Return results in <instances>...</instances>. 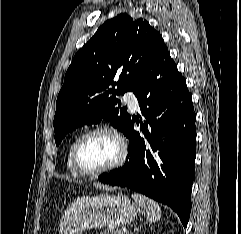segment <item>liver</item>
Returning a JSON list of instances; mask_svg holds the SVG:
<instances>
[{"label": "liver", "mask_w": 241, "mask_h": 234, "mask_svg": "<svg viewBox=\"0 0 241 234\" xmlns=\"http://www.w3.org/2000/svg\"><path fill=\"white\" fill-rule=\"evenodd\" d=\"M95 186H97V187H100V185L99 184H94Z\"/></svg>", "instance_id": "1"}]
</instances>
